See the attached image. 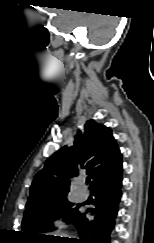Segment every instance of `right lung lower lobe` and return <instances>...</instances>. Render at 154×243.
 <instances>
[{"label":"right lung lower lobe","mask_w":154,"mask_h":243,"mask_svg":"<svg viewBox=\"0 0 154 243\" xmlns=\"http://www.w3.org/2000/svg\"><path fill=\"white\" fill-rule=\"evenodd\" d=\"M122 165L113 173L97 180L91 185L95 196L86 213L79 211L67 223H72L78 230L80 239L57 240L64 243H110V234L115 225L118 204L121 198ZM87 214V215H86Z\"/></svg>","instance_id":"1"}]
</instances>
